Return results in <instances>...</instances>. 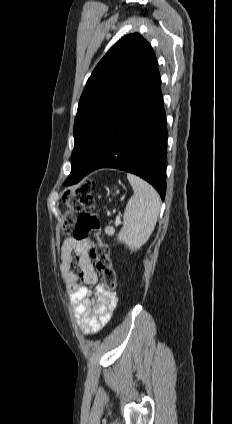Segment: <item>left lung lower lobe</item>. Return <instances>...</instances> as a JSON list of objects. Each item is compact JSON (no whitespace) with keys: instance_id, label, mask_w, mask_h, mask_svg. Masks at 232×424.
<instances>
[{"instance_id":"0a47b994","label":"left lung lower lobe","mask_w":232,"mask_h":424,"mask_svg":"<svg viewBox=\"0 0 232 424\" xmlns=\"http://www.w3.org/2000/svg\"><path fill=\"white\" fill-rule=\"evenodd\" d=\"M167 136L161 79L155 68L101 137L83 177L99 168H117L145 179L164 200ZM81 179L67 178L65 185Z\"/></svg>"}]
</instances>
